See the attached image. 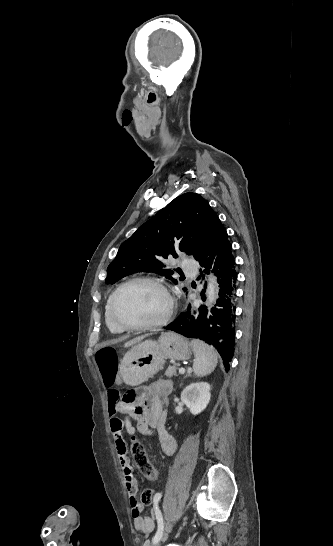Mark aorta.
Returning <instances> with one entry per match:
<instances>
[{"instance_id": "obj_1", "label": "aorta", "mask_w": 333, "mask_h": 546, "mask_svg": "<svg viewBox=\"0 0 333 546\" xmlns=\"http://www.w3.org/2000/svg\"><path fill=\"white\" fill-rule=\"evenodd\" d=\"M215 279L214 278H210L209 279V283H208V286H207V301L209 303H213L215 301V298H216V287H215Z\"/></svg>"}]
</instances>
